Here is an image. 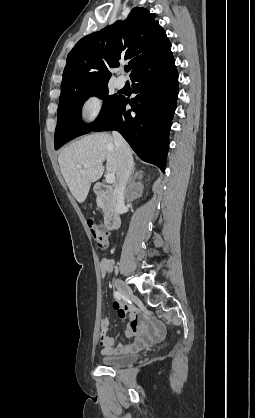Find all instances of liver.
Returning a JSON list of instances; mask_svg holds the SVG:
<instances>
[{
    "label": "liver",
    "instance_id": "1",
    "mask_svg": "<svg viewBox=\"0 0 255 418\" xmlns=\"http://www.w3.org/2000/svg\"><path fill=\"white\" fill-rule=\"evenodd\" d=\"M118 160L114 138L106 133L87 135L63 149L58 156L61 173L79 203L85 201L91 184L103 175L104 161L107 171L117 177Z\"/></svg>",
    "mask_w": 255,
    "mask_h": 418
}]
</instances>
